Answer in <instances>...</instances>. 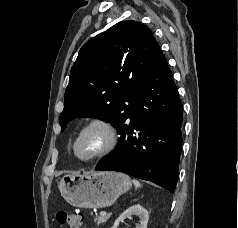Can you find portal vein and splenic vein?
I'll use <instances>...</instances> for the list:
<instances>
[{
	"label": "portal vein and splenic vein",
	"instance_id": "obj_1",
	"mask_svg": "<svg viewBox=\"0 0 238 228\" xmlns=\"http://www.w3.org/2000/svg\"><path fill=\"white\" fill-rule=\"evenodd\" d=\"M106 214H107V212H105V211L100 212V215H101V216H104V215H106Z\"/></svg>",
	"mask_w": 238,
	"mask_h": 228
}]
</instances>
